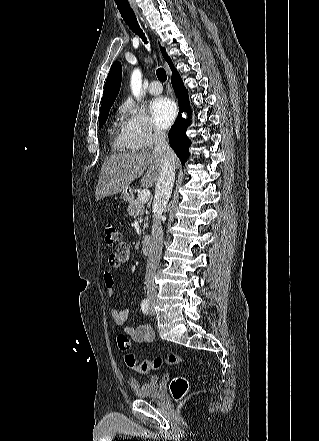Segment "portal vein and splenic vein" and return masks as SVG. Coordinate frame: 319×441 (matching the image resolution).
<instances>
[{
    "mask_svg": "<svg viewBox=\"0 0 319 441\" xmlns=\"http://www.w3.org/2000/svg\"><path fill=\"white\" fill-rule=\"evenodd\" d=\"M139 199L142 203L148 202L150 199V190L143 189L142 192L139 194Z\"/></svg>",
    "mask_w": 319,
    "mask_h": 441,
    "instance_id": "obj_1",
    "label": "portal vein and splenic vein"
}]
</instances>
